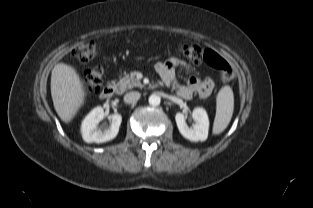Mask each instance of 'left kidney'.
Listing matches in <instances>:
<instances>
[{"instance_id":"left-kidney-1","label":"left kidney","mask_w":313,"mask_h":208,"mask_svg":"<svg viewBox=\"0 0 313 208\" xmlns=\"http://www.w3.org/2000/svg\"><path fill=\"white\" fill-rule=\"evenodd\" d=\"M192 117L195 120V124L189 128L186 124L184 114L177 113L175 115L179 132L183 137L190 141H205L208 137L209 130V119L207 112L203 108H195L193 110Z\"/></svg>"}]
</instances>
